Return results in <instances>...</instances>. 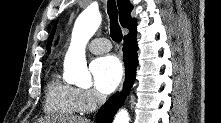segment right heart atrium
<instances>
[{"label":"right heart atrium","instance_id":"1","mask_svg":"<svg viewBox=\"0 0 221 123\" xmlns=\"http://www.w3.org/2000/svg\"><path fill=\"white\" fill-rule=\"evenodd\" d=\"M76 97L81 113L91 112L103 100L102 95L94 89H77Z\"/></svg>","mask_w":221,"mask_h":123}]
</instances>
